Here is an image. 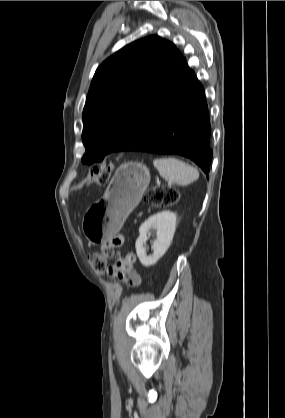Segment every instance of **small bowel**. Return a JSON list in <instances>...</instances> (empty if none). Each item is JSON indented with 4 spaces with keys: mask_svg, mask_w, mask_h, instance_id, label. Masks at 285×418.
<instances>
[{
    "mask_svg": "<svg viewBox=\"0 0 285 418\" xmlns=\"http://www.w3.org/2000/svg\"><path fill=\"white\" fill-rule=\"evenodd\" d=\"M122 242V238L120 236H116L111 240V244L114 246L119 245ZM134 256V260L136 261L135 254H130ZM130 255L121 258L117 264L112 265L108 268L109 275L113 277H117L120 280L125 281L130 286H138L141 283L140 275L131 269V265L135 262H130Z\"/></svg>",
    "mask_w": 285,
    "mask_h": 418,
    "instance_id": "obj_1",
    "label": "small bowel"
}]
</instances>
